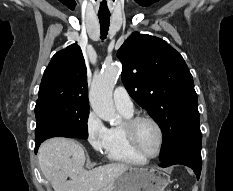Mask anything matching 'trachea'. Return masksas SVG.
Listing matches in <instances>:
<instances>
[{
	"label": "trachea",
	"mask_w": 233,
	"mask_h": 191,
	"mask_svg": "<svg viewBox=\"0 0 233 191\" xmlns=\"http://www.w3.org/2000/svg\"><path fill=\"white\" fill-rule=\"evenodd\" d=\"M100 26H101V39L104 40L108 34L110 14H98Z\"/></svg>",
	"instance_id": "3493384b"
}]
</instances>
